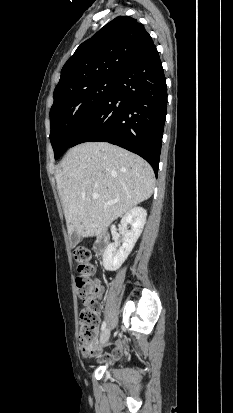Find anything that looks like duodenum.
I'll use <instances>...</instances> for the list:
<instances>
[{"mask_svg": "<svg viewBox=\"0 0 233 413\" xmlns=\"http://www.w3.org/2000/svg\"><path fill=\"white\" fill-rule=\"evenodd\" d=\"M109 240V234L106 231H100L94 243V251L101 255L106 250Z\"/></svg>", "mask_w": 233, "mask_h": 413, "instance_id": "1", "label": "duodenum"}]
</instances>
